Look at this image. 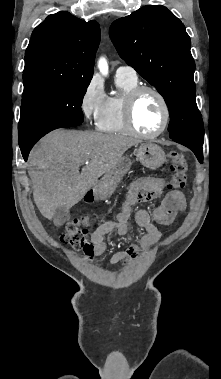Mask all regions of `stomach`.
I'll use <instances>...</instances> for the list:
<instances>
[{
	"label": "stomach",
	"instance_id": "1",
	"mask_svg": "<svg viewBox=\"0 0 221 379\" xmlns=\"http://www.w3.org/2000/svg\"><path fill=\"white\" fill-rule=\"evenodd\" d=\"M136 158L141 164L149 169H157L166 160L164 150L152 142L142 143L137 151ZM131 160L124 156L117 164L108 171L95 185L94 193L98 199H105L116 189L123 176L130 170Z\"/></svg>",
	"mask_w": 221,
	"mask_h": 379
}]
</instances>
